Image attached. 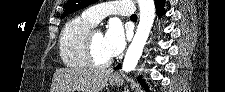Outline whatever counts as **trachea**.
<instances>
[{
	"label": "trachea",
	"instance_id": "trachea-1",
	"mask_svg": "<svg viewBox=\"0 0 225 92\" xmlns=\"http://www.w3.org/2000/svg\"><path fill=\"white\" fill-rule=\"evenodd\" d=\"M131 18H132V19H137V15H136V14H132V15H131Z\"/></svg>",
	"mask_w": 225,
	"mask_h": 92
}]
</instances>
